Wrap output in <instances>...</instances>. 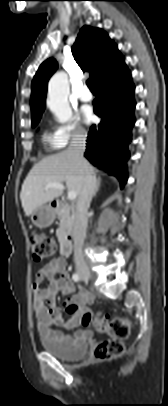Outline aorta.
Segmentation results:
<instances>
[{
  "instance_id": "762f6f07",
  "label": "aorta",
  "mask_w": 168,
  "mask_h": 406,
  "mask_svg": "<svg viewBox=\"0 0 168 406\" xmlns=\"http://www.w3.org/2000/svg\"><path fill=\"white\" fill-rule=\"evenodd\" d=\"M69 80L65 72L55 73L48 84L47 105L60 123L69 121L72 109L68 102Z\"/></svg>"
}]
</instances>
